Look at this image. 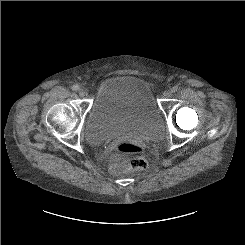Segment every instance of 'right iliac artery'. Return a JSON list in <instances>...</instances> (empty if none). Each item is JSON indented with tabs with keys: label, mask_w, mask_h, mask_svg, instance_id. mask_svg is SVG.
Here are the masks:
<instances>
[{
	"label": "right iliac artery",
	"mask_w": 245,
	"mask_h": 245,
	"mask_svg": "<svg viewBox=\"0 0 245 245\" xmlns=\"http://www.w3.org/2000/svg\"><path fill=\"white\" fill-rule=\"evenodd\" d=\"M78 89H79V86L78 85H73L72 86V90L77 91Z\"/></svg>",
	"instance_id": "obj_1"
}]
</instances>
